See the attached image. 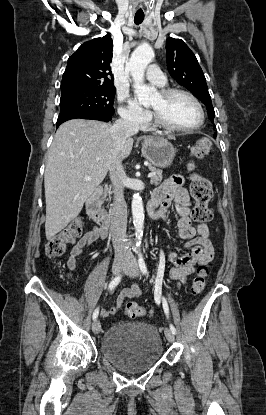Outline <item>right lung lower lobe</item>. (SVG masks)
Here are the masks:
<instances>
[{"label":"right lung lower lobe","mask_w":266,"mask_h":415,"mask_svg":"<svg viewBox=\"0 0 266 415\" xmlns=\"http://www.w3.org/2000/svg\"><path fill=\"white\" fill-rule=\"evenodd\" d=\"M91 119V120H100V121H110L112 119V115L103 114V113H96V112H81V111H66L60 112L58 119H57V128L65 121L70 119Z\"/></svg>","instance_id":"98d812e1"}]
</instances>
